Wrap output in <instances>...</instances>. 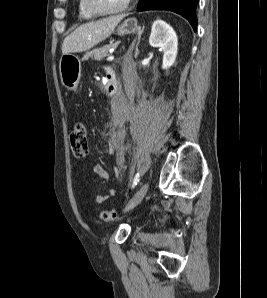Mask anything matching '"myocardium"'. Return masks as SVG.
<instances>
[{"label":"myocardium","instance_id":"obj_1","mask_svg":"<svg viewBox=\"0 0 267 298\" xmlns=\"http://www.w3.org/2000/svg\"><path fill=\"white\" fill-rule=\"evenodd\" d=\"M132 0H125L123 5L114 11H103L95 7L92 0H83L85 9L94 16L105 17L124 13L130 6Z\"/></svg>","mask_w":267,"mask_h":298}]
</instances>
